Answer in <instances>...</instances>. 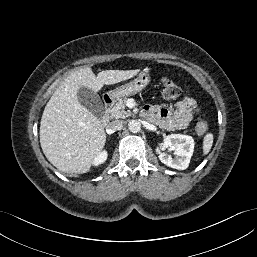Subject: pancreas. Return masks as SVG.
<instances>
[{
    "label": "pancreas",
    "mask_w": 257,
    "mask_h": 257,
    "mask_svg": "<svg viewBox=\"0 0 257 257\" xmlns=\"http://www.w3.org/2000/svg\"><path fill=\"white\" fill-rule=\"evenodd\" d=\"M127 98L120 99L116 105L110 110L112 118L120 119L126 118L132 115L130 110H125Z\"/></svg>",
    "instance_id": "obj_1"
}]
</instances>
